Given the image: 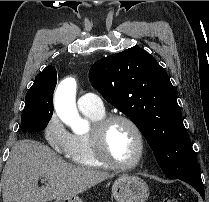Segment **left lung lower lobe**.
<instances>
[{
    "label": "left lung lower lobe",
    "instance_id": "1",
    "mask_svg": "<svg viewBox=\"0 0 209 202\" xmlns=\"http://www.w3.org/2000/svg\"><path fill=\"white\" fill-rule=\"evenodd\" d=\"M177 179H180L193 186L200 193L202 198H205L204 186L202 183L201 173L199 169L194 170L185 176L178 177Z\"/></svg>",
    "mask_w": 209,
    "mask_h": 202
}]
</instances>
